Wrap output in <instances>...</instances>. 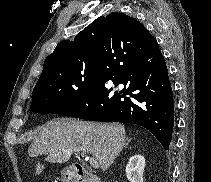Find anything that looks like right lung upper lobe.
Returning a JSON list of instances; mask_svg holds the SVG:
<instances>
[{"label":"right lung upper lobe","mask_w":211,"mask_h":182,"mask_svg":"<svg viewBox=\"0 0 211 182\" xmlns=\"http://www.w3.org/2000/svg\"><path fill=\"white\" fill-rule=\"evenodd\" d=\"M153 37L136 19L123 13L101 16L72 40L60 42L50 54L35 86L98 66L104 41L142 42Z\"/></svg>","instance_id":"obj_1"}]
</instances>
